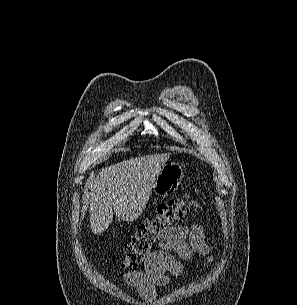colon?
I'll return each instance as SVG.
<instances>
[{"mask_svg":"<svg viewBox=\"0 0 297 305\" xmlns=\"http://www.w3.org/2000/svg\"><path fill=\"white\" fill-rule=\"evenodd\" d=\"M197 210V203L187 197H178L158 206L156 214L141 224L122 250V267L134 269L152 252L158 236L174 227Z\"/></svg>","mask_w":297,"mask_h":305,"instance_id":"1","label":"colon"}]
</instances>
